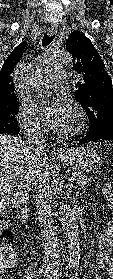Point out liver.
<instances>
[{
	"instance_id": "liver-1",
	"label": "liver",
	"mask_w": 113,
	"mask_h": 279,
	"mask_svg": "<svg viewBox=\"0 0 113 279\" xmlns=\"http://www.w3.org/2000/svg\"><path fill=\"white\" fill-rule=\"evenodd\" d=\"M49 177V166L19 138L0 134V211L14 197L13 188L18 179L34 186L39 175Z\"/></svg>"
}]
</instances>
